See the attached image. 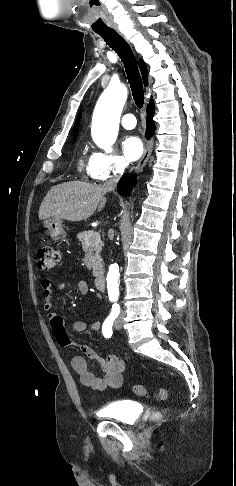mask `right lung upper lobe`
Returning <instances> with one entry per match:
<instances>
[{"mask_svg":"<svg viewBox=\"0 0 236 486\" xmlns=\"http://www.w3.org/2000/svg\"><path fill=\"white\" fill-rule=\"evenodd\" d=\"M139 64H140V70H141V73H142L144 85L147 86L148 85V75H147L146 65L141 59L139 61ZM80 119H81V114H79L77 116V119H76V122H75V125H74V137H77Z\"/></svg>","mask_w":236,"mask_h":486,"instance_id":"1","label":"right lung upper lobe"}]
</instances>
